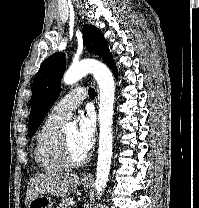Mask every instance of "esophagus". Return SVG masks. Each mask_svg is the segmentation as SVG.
<instances>
[{
    "label": "esophagus",
    "instance_id": "esophagus-1",
    "mask_svg": "<svg viewBox=\"0 0 199 208\" xmlns=\"http://www.w3.org/2000/svg\"><path fill=\"white\" fill-rule=\"evenodd\" d=\"M92 177V173L91 171H86L85 173L82 174L81 178L83 179H88V178H91Z\"/></svg>",
    "mask_w": 199,
    "mask_h": 208
}]
</instances>
